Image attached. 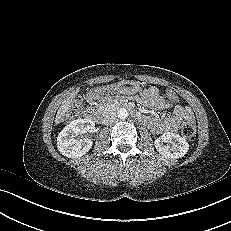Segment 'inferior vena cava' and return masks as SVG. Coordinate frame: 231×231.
Here are the masks:
<instances>
[{"mask_svg":"<svg viewBox=\"0 0 231 231\" xmlns=\"http://www.w3.org/2000/svg\"><path fill=\"white\" fill-rule=\"evenodd\" d=\"M117 119V114L115 112H106L104 115H103V118H102V123L104 125H110L112 124L113 122H115Z\"/></svg>","mask_w":231,"mask_h":231,"instance_id":"1","label":"inferior vena cava"}]
</instances>
